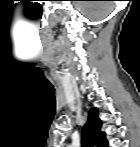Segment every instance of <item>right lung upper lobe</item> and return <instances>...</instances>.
Returning <instances> with one entry per match:
<instances>
[{
  "mask_svg": "<svg viewBox=\"0 0 140 147\" xmlns=\"http://www.w3.org/2000/svg\"><path fill=\"white\" fill-rule=\"evenodd\" d=\"M101 126L102 122L98 117V109L93 107L89 111L88 121L82 131V143L86 146L108 147L106 135L101 131Z\"/></svg>",
  "mask_w": 140,
  "mask_h": 147,
  "instance_id": "1",
  "label": "right lung upper lobe"
}]
</instances>
